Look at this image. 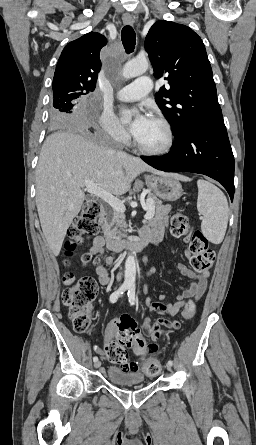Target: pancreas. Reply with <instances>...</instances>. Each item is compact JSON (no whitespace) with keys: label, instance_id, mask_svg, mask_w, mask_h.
Returning a JSON list of instances; mask_svg holds the SVG:
<instances>
[{"label":"pancreas","instance_id":"pancreas-1","mask_svg":"<svg viewBox=\"0 0 256 445\" xmlns=\"http://www.w3.org/2000/svg\"><path fill=\"white\" fill-rule=\"evenodd\" d=\"M150 200L153 202L156 219H165L168 210L162 205V201L155 196H151ZM99 223L105 238L111 241H119L124 236L123 232L127 228L125 216L115 210L102 218Z\"/></svg>","mask_w":256,"mask_h":445}]
</instances>
